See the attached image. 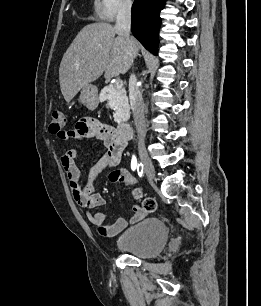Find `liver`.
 I'll return each mask as SVG.
<instances>
[{"instance_id": "liver-1", "label": "liver", "mask_w": 261, "mask_h": 306, "mask_svg": "<svg viewBox=\"0 0 261 306\" xmlns=\"http://www.w3.org/2000/svg\"><path fill=\"white\" fill-rule=\"evenodd\" d=\"M109 23L86 25L73 40L59 67L62 95L67 103L103 73L106 79L125 74L139 51V43L116 36Z\"/></svg>"}]
</instances>
